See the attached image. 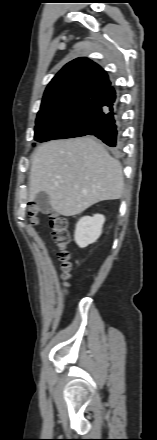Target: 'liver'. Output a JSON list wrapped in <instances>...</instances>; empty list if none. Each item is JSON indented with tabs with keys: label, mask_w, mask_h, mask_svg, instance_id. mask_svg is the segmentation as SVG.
Instances as JSON below:
<instances>
[{
	"label": "liver",
	"mask_w": 157,
	"mask_h": 440,
	"mask_svg": "<svg viewBox=\"0 0 157 440\" xmlns=\"http://www.w3.org/2000/svg\"><path fill=\"white\" fill-rule=\"evenodd\" d=\"M123 191L121 164L93 138L50 141L33 157L29 200L45 192L61 215L74 216L100 201L119 199Z\"/></svg>",
	"instance_id": "obj_1"
}]
</instances>
